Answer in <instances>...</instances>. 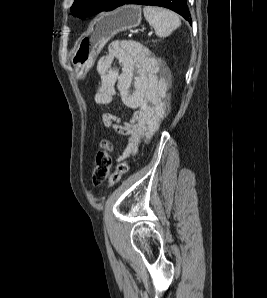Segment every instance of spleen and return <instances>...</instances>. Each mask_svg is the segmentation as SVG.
I'll return each instance as SVG.
<instances>
[{
  "label": "spleen",
  "instance_id": "spleen-1",
  "mask_svg": "<svg viewBox=\"0 0 267 298\" xmlns=\"http://www.w3.org/2000/svg\"><path fill=\"white\" fill-rule=\"evenodd\" d=\"M143 13L145 19L155 29L156 35L159 37H167L181 26L179 16L168 9L145 6Z\"/></svg>",
  "mask_w": 267,
  "mask_h": 298
}]
</instances>
